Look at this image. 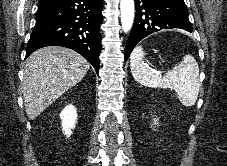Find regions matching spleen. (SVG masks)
I'll list each match as a JSON object with an SVG mask.
<instances>
[{"instance_id": "obj_1", "label": "spleen", "mask_w": 227, "mask_h": 166, "mask_svg": "<svg viewBox=\"0 0 227 166\" xmlns=\"http://www.w3.org/2000/svg\"><path fill=\"white\" fill-rule=\"evenodd\" d=\"M144 52L141 46H137L130 56L131 73L134 79L151 88H170L174 90L179 101L186 107L195 104L200 88L199 67L193 56L187 54L182 61L172 70L168 71L163 78L154 74L143 63Z\"/></svg>"}]
</instances>
